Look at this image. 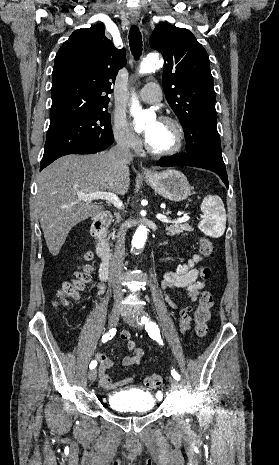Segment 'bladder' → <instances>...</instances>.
Segmentation results:
<instances>
[{
	"label": "bladder",
	"mask_w": 279,
	"mask_h": 465,
	"mask_svg": "<svg viewBox=\"0 0 279 465\" xmlns=\"http://www.w3.org/2000/svg\"><path fill=\"white\" fill-rule=\"evenodd\" d=\"M107 404L119 412L149 413L155 409L156 399L150 391L132 387L109 394Z\"/></svg>",
	"instance_id": "1"
}]
</instances>
